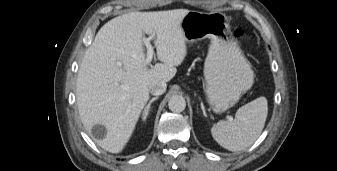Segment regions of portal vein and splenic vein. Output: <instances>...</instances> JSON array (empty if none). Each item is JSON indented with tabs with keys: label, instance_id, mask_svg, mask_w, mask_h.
I'll return each instance as SVG.
<instances>
[{
	"label": "portal vein and splenic vein",
	"instance_id": "18ae733b",
	"mask_svg": "<svg viewBox=\"0 0 337 171\" xmlns=\"http://www.w3.org/2000/svg\"><path fill=\"white\" fill-rule=\"evenodd\" d=\"M150 39L151 38H144L143 39V42L147 48V57H146V60H145V65H149L150 62L152 61V58H153V54H154V49L150 43Z\"/></svg>",
	"mask_w": 337,
	"mask_h": 171
}]
</instances>
